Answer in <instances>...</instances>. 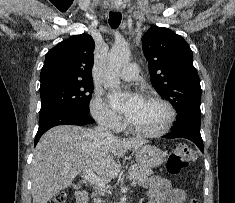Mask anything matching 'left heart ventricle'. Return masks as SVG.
<instances>
[{
    "mask_svg": "<svg viewBox=\"0 0 235 203\" xmlns=\"http://www.w3.org/2000/svg\"><path fill=\"white\" fill-rule=\"evenodd\" d=\"M166 109L163 105L144 100L136 112L129 118L130 123L142 130L158 129L166 119Z\"/></svg>",
    "mask_w": 235,
    "mask_h": 203,
    "instance_id": "obj_1",
    "label": "left heart ventricle"
}]
</instances>
